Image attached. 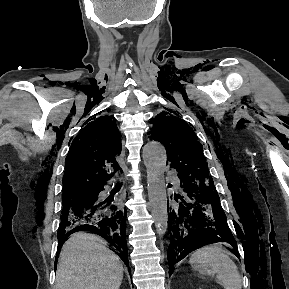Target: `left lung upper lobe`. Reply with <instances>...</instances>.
I'll return each instance as SVG.
<instances>
[{
	"label": "left lung upper lobe",
	"instance_id": "obj_1",
	"mask_svg": "<svg viewBox=\"0 0 289 289\" xmlns=\"http://www.w3.org/2000/svg\"><path fill=\"white\" fill-rule=\"evenodd\" d=\"M151 139L161 142L167 149L170 167L177 171L178 176L190 182L214 186L202 153V145L193 129L182 119L170 113L168 115L167 112L160 113L153 120Z\"/></svg>",
	"mask_w": 289,
	"mask_h": 289
}]
</instances>
